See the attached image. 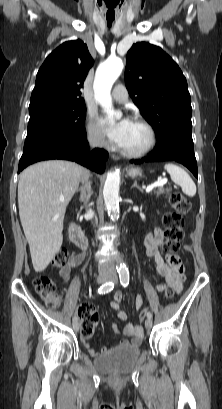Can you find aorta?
<instances>
[{"label":"aorta","mask_w":222,"mask_h":409,"mask_svg":"<svg viewBox=\"0 0 222 409\" xmlns=\"http://www.w3.org/2000/svg\"><path fill=\"white\" fill-rule=\"evenodd\" d=\"M123 70V62L119 58L108 59L100 65L96 71L94 89L95 99L109 115H114L112 107L111 88ZM119 185L120 174L118 170L107 174L103 188L105 205L110 211L112 218H116L119 213ZM122 269L125 268L123 265Z\"/></svg>","instance_id":"1"}]
</instances>
